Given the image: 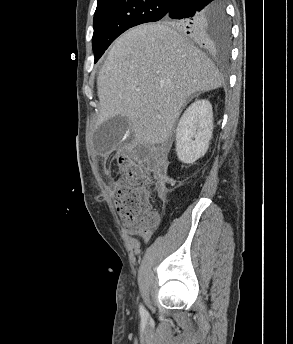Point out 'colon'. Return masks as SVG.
Listing matches in <instances>:
<instances>
[{
    "instance_id": "colon-1",
    "label": "colon",
    "mask_w": 293,
    "mask_h": 344,
    "mask_svg": "<svg viewBox=\"0 0 293 344\" xmlns=\"http://www.w3.org/2000/svg\"><path fill=\"white\" fill-rule=\"evenodd\" d=\"M116 162L123 178L115 185V208L131 234L147 235L159 217L151 203L149 177L129 156Z\"/></svg>"
}]
</instances>
